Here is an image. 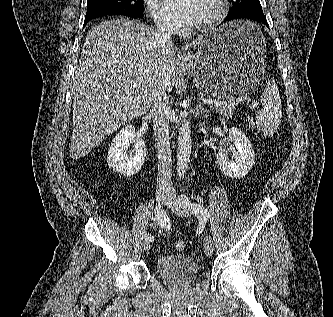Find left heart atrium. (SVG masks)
<instances>
[{"label":"left heart atrium","mask_w":333,"mask_h":317,"mask_svg":"<svg viewBox=\"0 0 333 317\" xmlns=\"http://www.w3.org/2000/svg\"><path fill=\"white\" fill-rule=\"evenodd\" d=\"M162 11L178 26L193 25L199 17L200 0H163Z\"/></svg>","instance_id":"left-heart-atrium-1"}]
</instances>
